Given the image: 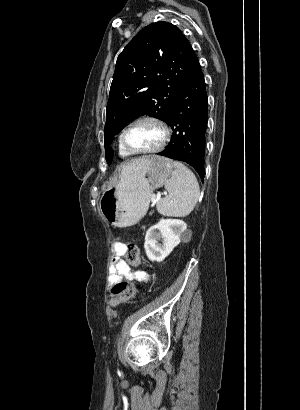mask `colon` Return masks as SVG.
<instances>
[{
    "label": "colon",
    "instance_id": "1",
    "mask_svg": "<svg viewBox=\"0 0 300 410\" xmlns=\"http://www.w3.org/2000/svg\"><path fill=\"white\" fill-rule=\"evenodd\" d=\"M126 262L138 264L140 261V249L135 244H127L124 249ZM135 294V288L127 281H117L110 290L112 305L121 304L129 300Z\"/></svg>",
    "mask_w": 300,
    "mask_h": 410
}]
</instances>
